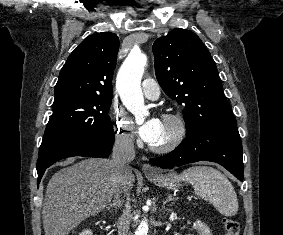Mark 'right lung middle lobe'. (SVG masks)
Segmentation results:
<instances>
[{
	"label": "right lung middle lobe",
	"instance_id": "right-lung-middle-lobe-1",
	"mask_svg": "<svg viewBox=\"0 0 283 235\" xmlns=\"http://www.w3.org/2000/svg\"><path fill=\"white\" fill-rule=\"evenodd\" d=\"M111 103L112 97L84 96L55 102L39 156L75 139L112 132V122L107 114Z\"/></svg>",
	"mask_w": 283,
	"mask_h": 235
}]
</instances>
